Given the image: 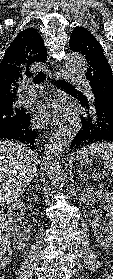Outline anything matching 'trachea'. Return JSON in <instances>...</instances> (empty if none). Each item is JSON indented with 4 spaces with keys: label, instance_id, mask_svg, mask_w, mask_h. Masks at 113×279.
I'll use <instances>...</instances> for the list:
<instances>
[{
    "label": "trachea",
    "instance_id": "obj_1",
    "mask_svg": "<svg viewBox=\"0 0 113 279\" xmlns=\"http://www.w3.org/2000/svg\"><path fill=\"white\" fill-rule=\"evenodd\" d=\"M46 79V75L43 73V71L41 70L34 78L33 81L35 84H40L41 82H43ZM54 83L61 87V88H66V89H75L72 85H70L68 82H65L63 80L60 79H53Z\"/></svg>",
    "mask_w": 113,
    "mask_h": 279
}]
</instances>
